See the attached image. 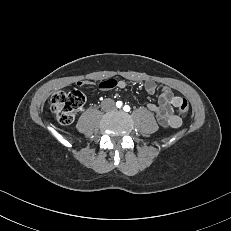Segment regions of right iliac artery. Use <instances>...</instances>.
<instances>
[{"label": "right iliac artery", "mask_w": 231, "mask_h": 231, "mask_svg": "<svg viewBox=\"0 0 231 231\" xmlns=\"http://www.w3.org/2000/svg\"><path fill=\"white\" fill-rule=\"evenodd\" d=\"M116 106H117L118 108H120V107L122 106V102H121V101H118V102L116 103Z\"/></svg>", "instance_id": "right-iliac-artery-1"}]
</instances>
